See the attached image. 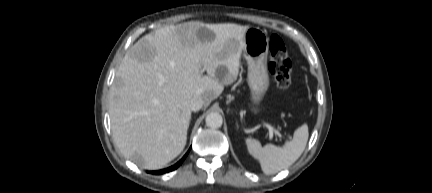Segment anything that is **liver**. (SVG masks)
<instances>
[{"label": "liver", "instance_id": "liver-1", "mask_svg": "<svg viewBox=\"0 0 432 193\" xmlns=\"http://www.w3.org/2000/svg\"><path fill=\"white\" fill-rule=\"evenodd\" d=\"M248 29L190 21L147 34L128 50L109 92L112 136L127 159L156 170L183 151L192 98L207 107L237 79Z\"/></svg>", "mask_w": 432, "mask_h": 193}]
</instances>
